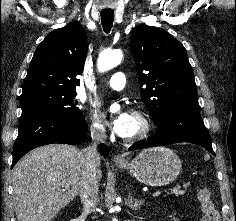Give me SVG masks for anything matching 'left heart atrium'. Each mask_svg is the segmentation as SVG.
<instances>
[{"label":"left heart atrium","mask_w":236,"mask_h":221,"mask_svg":"<svg viewBox=\"0 0 236 221\" xmlns=\"http://www.w3.org/2000/svg\"><path fill=\"white\" fill-rule=\"evenodd\" d=\"M131 119L132 114H130L128 111H120L113 117L111 126L119 136L126 137V134L130 128Z\"/></svg>","instance_id":"obj_1"}]
</instances>
